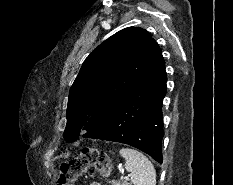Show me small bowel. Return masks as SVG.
I'll return each mask as SVG.
<instances>
[{
    "label": "small bowel",
    "instance_id": "1",
    "mask_svg": "<svg viewBox=\"0 0 233 185\" xmlns=\"http://www.w3.org/2000/svg\"><path fill=\"white\" fill-rule=\"evenodd\" d=\"M90 185H103V184H101L100 182L94 181V182H92Z\"/></svg>",
    "mask_w": 233,
    "mask_h": 185
}]
</instances>
